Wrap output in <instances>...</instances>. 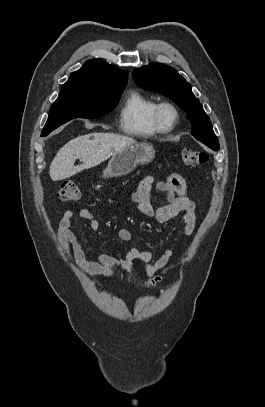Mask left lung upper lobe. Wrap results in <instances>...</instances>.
Listing matches in <instances>:
<instances>
[{
    "mask_svg": "<svg viewBox=\"0 0 265 407\" xmlns=\"http://www.w3.org/2000/svg\"><path fill=\"white\" fill-rule=\"evenodd\" d=\"M135 83L149 91L161 93L173 100L187 113L192 125L191 134L213 150L219 149L218 139L191 85L169 66L152 63L132 73Z\"/></svg>",
    "mask_w": 265,
    "mask_h": 407,
    "instance_id": "5c2ea615",
    "label": "left lung upper lobe"
}]
</instances>
